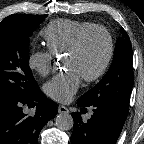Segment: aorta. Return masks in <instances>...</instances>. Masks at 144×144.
I'll use <instances>...</instances> for the list:
<instances>
[{
    "mask_svg": "<svg viewBox=\"0 0 144 144\" xmlns=\"http://www.w3.org/2000/svg\"><path fill=\"white\" fill-rule=\"evenodd\" d=\"M56 126L63 131H67L73 128V118L69 113H60L55 119Z\"/></svg>",
    "mask_w": 144,
    "mask_h": 144,
    "instance_id": "obj_1",
    "label": "aorta"
}]
</instances>
